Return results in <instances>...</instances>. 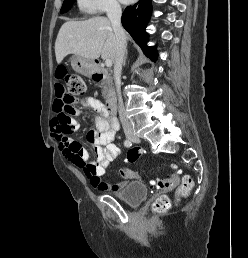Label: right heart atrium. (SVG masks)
<instances>
[{
  "mask_svg": "<svg viewBox=\"0 0 248 258\" xmlns=\"http://www.w3.org/2000/svg\"><path fill=\"white\" fill-rule=\"evenodd\" d=\"M79 9L86 14L116 12L120 10L118 0H77Z\"/></svg>",
  "mask_w": 248,
  "mask_h": 258,
  "instance_id": "right-heart-atrium-1",
  "label": "right heart atrium"
}]
</instances>
